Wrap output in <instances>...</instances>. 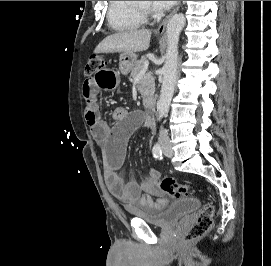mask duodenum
Returning a JSON list of instances; mask_svg holds the SVG:
<instances>
[{"label": "duodenum", "mask_w": 271, "mask_h": 266, "mask_svg": "<svg viewBox=\"0 0 271 266\" xmlns=\"http://www.w3.org/2000/svg\"><path fill=\"white\" fill-rule=\"evenodd\" d=\"M144 102H145L146 106L151 109L155 108V106H156V99L152 96L145 97Z\"/></svg>", "instance_id": "obj_1"}]
</instances>
